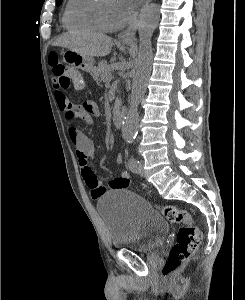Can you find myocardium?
Masks as SVG:
<instances>
[{"mask_svg":"<svg viewBox=\"0 0 245 300\" xmlns=\"http://www.w3.org/2000/svg\"><path fill=\"white\" fill-rule=\"evenodd\" d=\"M102 2L103 0H98L96 5V15L101 28L106 31H114L122 28L127 23L128 19L119 23H110L104 14Z\"/></svg>","mask_w":245,"mask_h":300,"instance_id":"obj_1","label":"myocardium"}]
</instances>
